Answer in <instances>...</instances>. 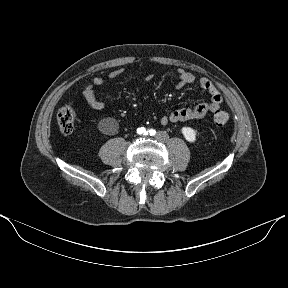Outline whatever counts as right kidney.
<instances>
[{
    "mask_svg": "<svg viewBox=\"0 0 288 288\" xmlns=\"http://www.w3.org/2000/svg\"><path fill=\"white\" fill-rule=\"evenodd\" d=\"M111 123H112V120L110 118L103 119L99 123L100 131L103 132V133H109L111 131Z\"/></svg>",
    "mask_w": 288,
    "mask_h": 288,
    "instance_id": "1",
    "label": "right kidney"
}]
</instances>
